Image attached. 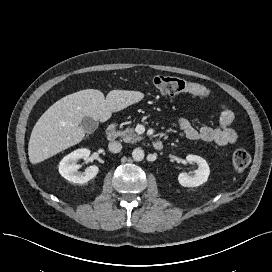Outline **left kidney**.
<instances>
[{
	"label": "left kidney",
	"mask_w": 272,
	"mask_h": 272,
	"mask_svg": "<svg viewBox=\"0 0 272 272\" xmlns=\"http://www.w3.org/2000/svg\"><path fill=\"white\" fill-rule=\"evenodd\" d=\"M186 161L197 165L198 169L194 176H189L187 173L178 175L179 183L184 187H197L208 180L210 168L205 159L198 155L189 154L186 156Z\"/></svg>",
	"instance_id": "left-kidney-1"
}]
</instances>
